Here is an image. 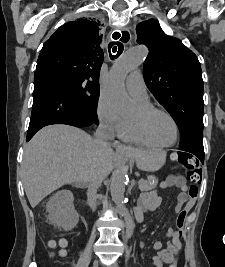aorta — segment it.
<instances>
[{
    "label": "aorta",
    "mask_w": 225,
    "mask_h": 267,
    "mask_svg": "<svg viewBox=\"0 0 225 267\" xmlns=\"http://www.w3.org/2000/svg\"><path fill=\"white\" fill-rule=\"evenodd\" d=\"M147 54L148 49L145 46L137 45L129 48L114 62L104 88V95L117 111L125 112L131 107L132 102L125 91V78L144 62ZM126 183L127 171L124 168L117 169L112 175L110 192L118 212L124 217L127 236H130L133 232V223L124 202Z\"/></svg>",
    "instance_id": "aorta-1"
}]
</instances>
